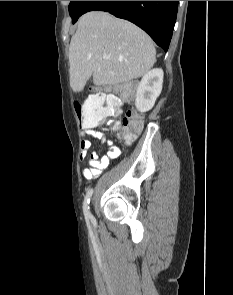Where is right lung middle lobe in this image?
<instances>
[{
	"mask_svg": "<svg viewBox=\"0 0 233 295\" xmlns=\"http://www.w3.org/2000/svg\"><path fill=\"white\" fill-rule=\"evenodd\" d=\"M87 1H71L69 4V14L72 18L73 24L78 20L82 15V10Z\"/></svg>",
	"mask_w": 233,
	"mask_h": 295,
	"instance_id": "1",
	"label": "right lung middle lobe"
}]
</instances>
